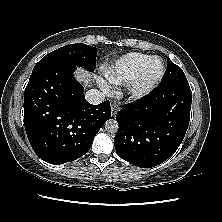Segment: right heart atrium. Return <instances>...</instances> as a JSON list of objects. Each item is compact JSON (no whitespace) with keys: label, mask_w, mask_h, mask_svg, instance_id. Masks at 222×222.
Listing matches in <instances>:
<instances>
[{"label":"right heart atrium","mask_w":222,"mask_h":222,"mask_svg":"<svg viewBox=\"0 0 222 222\" xmlns=\"http://www.w3.org/2000/svg\"><path fill=\"white\" fill-rule=\"evenodd\" d=\"M100 85L101 87H103L104 89L108 90V86L104 81H100Z\"/></svg>","instance_id":"1"}]
</instances>
